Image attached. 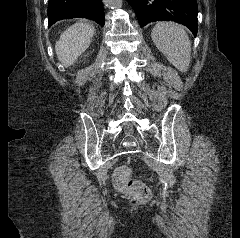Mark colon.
<instances>
[{
	"mask_svg": "<svg viewBox=\"0 0 240 238\" xmlns=\"http://www.w3.org/2000/svg\"><path fill=\"white\" fill-rule=\"evenodd\" d=\"M115 187L134 202H146L151 197L149 187L142 181L132 179L131 170L127 166H120L113 175Z\"/></svg>",
	"mask_w": 240,
	"mask_h": 238,
	"instance_id": "5ec220e1",
	"label": "colon"
}]
</instances>
